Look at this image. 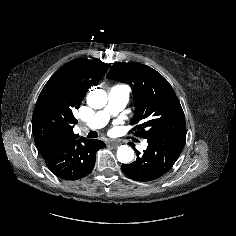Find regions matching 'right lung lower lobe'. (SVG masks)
<instances>
[{"label":"right lung lower lobe","mask_w":236,"mask_h":236,"mask_svg":"<svg viewBox=\"0 0 236 236\" xmlns=\"http://www.w3.org/2000/svg\"><path fill=\"white\" fill-rule=\"evenodd\" d=\"M36 147L53 174L64 180H78L92 171L96 152L105 144L82 137L69 143H45Z\"/></svg>","instance_id":"right-lung-lower-lobe-1"}]
</instances>
